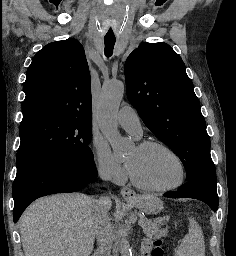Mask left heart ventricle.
Returning <instances> with one entry per match:
<instances>
[{
  "label": "left heart ventricle",
  "instance_id": "left-heart-ventricle-1",
  "mask_svg": "<svg viewBox=\"0 0 236 256\" xmlns=\"http://www.w3.org/2000/svg\"><path fill=\"white\" fill-rule=\"evenodd\" d=\"M126 160L136 177L147 186L165 187L175 183L181 175L178 161L162 149L142 151L136 147Z\"/></svg>",
  "mask_w": 236,
  "mask_h": 256
}]
</instances>
